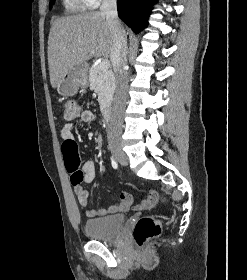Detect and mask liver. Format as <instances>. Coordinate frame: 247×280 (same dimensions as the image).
Here are the masks:
<instances>
[{
    "label": "liver",
    "instance_id": "1",
    "mask_svg": "<svg viewBox=\"0 0 247 280\" xmlns=\"http://www.w3.org/2000/svg\"><path fill=\"white\" fill-rule=\"evenodd\" d=\"M112 48L113 37L106 17L100 12L56 19L48 38V66L52 87H58L74 65L92 57L108 56Z\"/></svg>",
    "mask_w": 247,
    "mask_h": 280
}]
</instances>
